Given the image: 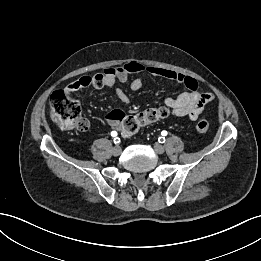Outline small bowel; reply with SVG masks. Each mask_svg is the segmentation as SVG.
Here are the masks:
<instances>
[{"mask_svg": "<svg viewBox=\"0 0 261 261\" xmlns=\"http://www.w3.org/2000/svg\"><path fill=\"white\" fill-rule=\"evenodd\" d=\"M142 72H147L155 77L173 80L183 84L187 88V91L175 98L166 97L164 99V104L171 109L172 115L175 117H187L189 120L195 121L203 112L206 104L213 99L211 93L199 92L198 84L194 78L158 66H144L137 61H131L118 67L107 68L102 73L94 76H84L79 79V81L83 82V86H81L80 89L86 87L97 89L103 87L109 88L112 87L116 81H120L129 83L132 91H138L142 88L143 81L142 79L133 76ZM116 95L123 104H129V97L123 90L117 89ZM117 111L122 112L120 110ZM108 115L109 124L113 128L119 129L118 122L110 119Z\"/></svg>", "mask_w": 261, "mask_h": 261, "instance_id": "small-bowel-1", "label": "small bowel"}]
</instances>
